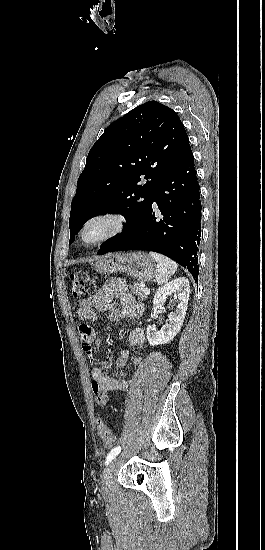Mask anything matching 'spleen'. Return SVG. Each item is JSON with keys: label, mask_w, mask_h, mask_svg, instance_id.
<instances>
[{"label": "spleen", "mask_w": 265, "mask_h": 550, "mask_svg": "<svg viewBox=\"0 0 265 550\" xmlns=\"http://www.w3.org/2000/svg\"><path fill=\"white\" fill-rule=\"evenodd\" d=\"M150 256L157 262L158 274L156 280L158 285H162L171 278L178 265L171 259L155 252H150Z\"/></svg>", "instance_id": "3e777b00"}]
</instances>
